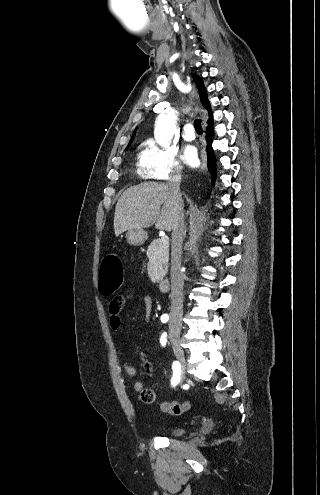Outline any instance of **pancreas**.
I'll return each mask as SVG.
<instances>
[{"instance_id": "cf45deb5", "label": "pancreas", "mask_w": 320, "mask_h": 495, "mask_svg": "<svg viewBox=\"0 0 320 495\" xmlns=\"http://www.w3.org/2000/svg\"><path fill=\"white\" fill-rule=\"evenodd\" d=\"M148 275L152 282L158 283L168 272L169 246L156 239L150 243L147 249Z\"/></svg>"}]
</instances>
